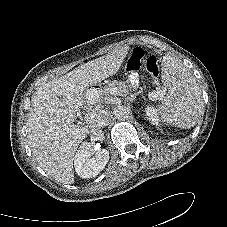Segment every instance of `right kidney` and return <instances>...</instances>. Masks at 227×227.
Here are the masks:
<instances>
[{
    "instance_id": "ca27d5eb",
    "label": "right kidney",
    "mask_w": 227,
    "mask_h": 227,
    "mask_svg": "<svg viewBox=\"0 0 227 227\" xmlns=\"http://www.w3.org/2000/svg\"><path fill=\"white\" fill-rule=\"evenodd\" d=\"M94 145L91 142H84L74 158L75 171L81 178H92L97 176L106 166L109 160V151L98 148L95 155L91 157Z\"/></svg>"
}]
</instances>
